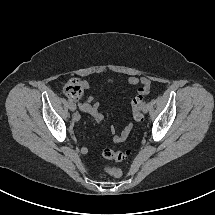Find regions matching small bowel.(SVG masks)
<instances>
[{
  "instance_id": "1",
  "label": "small bowel",
  "mask_w": 215,
  "mask_h": 215,
  "mask_svg": "<svg viewBox=\"0 0 215 215\" xmlns=\"http://www.w3.org/2000/svg\"><path fill=\"white\" fill-rule=\"evenodd\" d=\"M112 80L109 79L107 80V83H111ZM128 82L130 85L136 86L138 84H141L142 86H146L149 88L150 86V80L147 77H130L128 79ZM83 84V90H87L89 88V84L86 81L82 82ZM78 107L81 111L88 113L89 115H91L94 119V121L98 124L102 118V112L100 109V105L98 102H95L93 97H88L86 99H78ZM80 116L78 114L74 115L73 117V121L77 122L79 121ZM132 129V125L131 124H127L124 129L119 133V134H115L113 139L115 142H122L124 141L127 136L129 135L130 131ZM82 152H86V148L82 149Z\"/></svg>"
}]
</instances>
